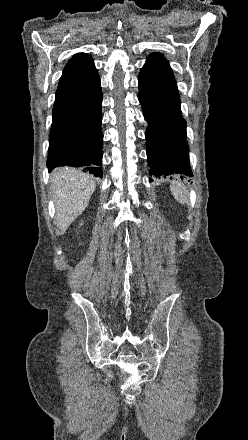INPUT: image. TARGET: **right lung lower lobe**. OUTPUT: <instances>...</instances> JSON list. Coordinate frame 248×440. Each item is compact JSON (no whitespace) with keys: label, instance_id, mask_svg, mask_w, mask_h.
I'll list each match as a JSON object with an SVG mask.
<instances>
[{"label":"right lung lower lobe","instance_id":"98d812e1","mask_svg":"<svg viewBox=\"0 0 248 440\" xmlns=\"http://www.w3.org/2000/svg\"><path fill=\"white\" fill-rule=\"evenodd\" d=\"M101 105L99 78L82 89L56 94L49 135V172L67 165L102 177Z\"/></svg>","mask_w":248,"mask_h":440}]
</instances>
